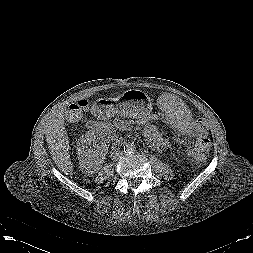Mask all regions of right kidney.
Here are the masks:
<instances>
[{
  "label": "right kidney",
  "instance_id": "obj_1",
  "mask_svg": "<svg viewBox=\"0 0 253 253\" xmlns=\"http://www.w3.org/2000/svg\"><path fill=\"white\" fill-rule=\"evenodd\" d=\"M108 140L100 129H91L82 135L77 143L79 167L87 174L92 175L103 164L108 151Z\"/></svg>",
  "mask_w": 253,
  "mask_h": 253
}]
</instances>
